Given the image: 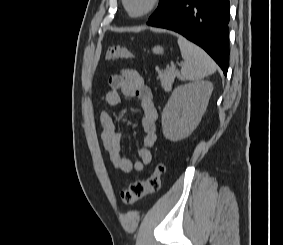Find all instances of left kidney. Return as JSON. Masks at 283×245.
I'll list each match as a JSON object with an SVG mask.
<instances>
[{"label":"left kidney","instance_id":"1","mask_svg":"<svg viewBox=\"0 0 283 245\" xmlns=\"http://www.w3.org/2000/svg\"><path fill=\"white\" fill-rule=\"evenodd\" d=\"M212 91L213 84L210 81H198L175 88L162 113L164 137L173 142L188 137L199 124Z\"/></svg>","mask_w":283,"mask_h":245}]
</instances>
